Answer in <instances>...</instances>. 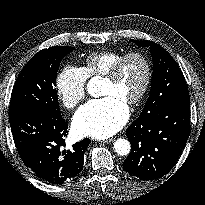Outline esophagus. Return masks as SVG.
Returning <instances> with one entry per match:
<instances>
[{"label": "esophagus", "mask_w": 205, "mask_h": 205, "mask_svg": "<svg viewBox=\"0 0 205 205\" xmlns=\"http://www.w3.org/2000/svg\"><path fill=\"white\" fill-rule=\"evenodd\" d=\"M112 141H114V138H109V139L103 140V141H101V142L106 143V144H109V143H111Z\"/></svg>", "instance_id": "obj_1"}]
</instances>
